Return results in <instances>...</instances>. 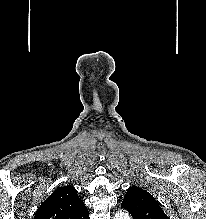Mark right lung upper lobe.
<instances>
[{"label": "right lung upper lobe", "instance_id": "right-lung-upper-lobe-1", "mask_svg": "<svg viewBox=\"0 0 206 219\" xmlns=\"http://www.w3.org/2000/svg\"><path fill=\"white\" fill-rule=\"evenodd\" d=\"M34 219H89V211L77 190L66 185L55 190L40 205Z\"/></svg>", "mask_w": 206, "mask_h": 219}]
</instances>
